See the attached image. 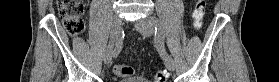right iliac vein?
Wrapping results in <instances>:
<instances>
[{
    "label": "right iliac vein",
    "instance_id": "1",
    "mask_svg": "<svg viewBox=\"0 0 279 82\" xmlns=\"http://www.w3.org/2000/svg\"><path fill=\"white\" fill-rule=\"evenodd\" d=\"M122 20L119 16H114L112 19V30H111V38L106 50L104 52L103 60L105 64H109L112 61V51L114 47V43L116 41V37L121 28Z\"/></svg>",
    "mask_w": 279,
    "mask_h": 82
}]
</instances>
